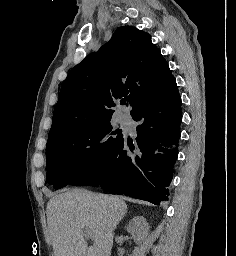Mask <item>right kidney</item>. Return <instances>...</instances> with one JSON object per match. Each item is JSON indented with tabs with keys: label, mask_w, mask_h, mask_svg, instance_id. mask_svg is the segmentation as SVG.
I'll return each mask as SVG.
<instances>
[{
	"label": "right kidney",
	"mask_w": 236,
	"mask_h": 256,
	"mask_svg": "<svg viewBox=\"0 0 236 256\" xmlns=\"http://www.w3.org/2000/svg\"><path fill=\"white\" fill-rule=\"evenodd\" d=\"M150 226L147 224L143 216H135L127 226V232L132 234L134 242L139 244V246H148L149 240V230Z\"/></svg>",
	"instance_id": "right-kidney-1"
}]
</instances>
